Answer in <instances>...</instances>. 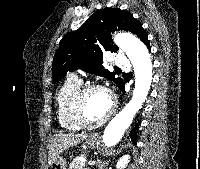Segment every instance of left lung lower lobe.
I'll return each mask as SVG.
<instances>
[{
	"mask_svg": "<svg viewBox=\"0 0 200 169\" xmlns=\"http://www.w3.org/2000/svg\"><path fill=\"white\" fill-rule=\"evenodd\" d=\"M144 44L147 46V48L149 49L150 51V46H149V42H148V39L144 42ZM122 92H124V82H122L119 86H118ZM138 124L136 125V127L131 131L130 133V137H131V140L136 143V133H135V129L137 128Z\"/></svg>",
	"mask_w": 200,
	"mask_h": 169,
	"instance_id": "0a47b994",
	"label": "left lung lower lobe"
}]
</instances>
